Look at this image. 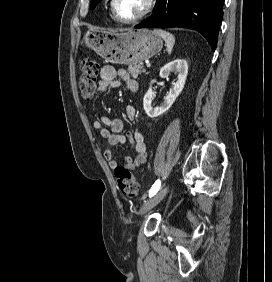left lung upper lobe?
<instances>
[{
    "label": "left lung upper lobe",
    "mask_w": 272,
    "mask_h": 282,
    "mask_svg": "<svg viewBox=\"0 0 272 282\" xmlns=\"http://www.w3.org/2000/svg\"><path fill=\"white\" fill-rule=\"evenodd\" d=\"M101 0H91L90 7L94 9Z\"/></svg>",
    "instance_id": "left-lung-upper-lobe-1"
}]
</instances>
